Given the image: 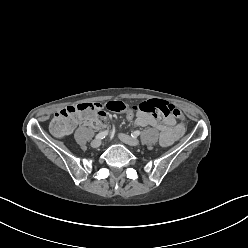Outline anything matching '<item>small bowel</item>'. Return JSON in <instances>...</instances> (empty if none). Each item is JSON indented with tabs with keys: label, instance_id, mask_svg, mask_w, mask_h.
Masks as SVG:
<instances>
[{
	"label": "small bowel",
	"instance_id": "obj_1",
	"mask_svg": "<svg viewBox=\"0 0 248 248\" xmlns=\"http://www.w3.org/2000/svg\"><path fill=\"white\" fill-rule=\"evenodd\" d=\"M86 123L90 124L87 121ZM133 124L136 127L152 126L159 130V143L163 147L170 146L183 134V128L180 125H176V121L172 116L158 120L144 112H137L134 114Z\"/></svg>",
	"mask_w": 248,
	"mask_h": 248
}]
</instances>
